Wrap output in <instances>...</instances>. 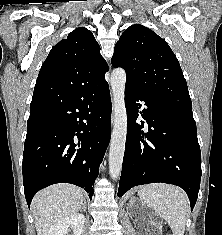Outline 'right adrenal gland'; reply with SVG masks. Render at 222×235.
Listing matches in <instances>:
<instances>
[{
  "label": "right adrenal gland",
  "instance_id": "2a0ac1e0",
  "mask_svg": "<svg viewBox=\"0 0 222 235\" xmlns=\"http://www.w3.org/2000/svg\"><path fill=\"white\" fill-rule=\"evenodd\" d=\"M86 209H87L86 201H84L81 211L83 210L84 212H86Z\"/></svg>",
  "mask_w": 222,
  "mask_h": 235
}]
</instances>
